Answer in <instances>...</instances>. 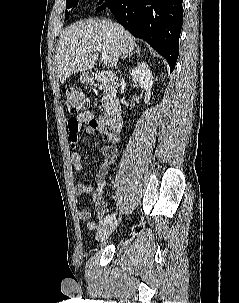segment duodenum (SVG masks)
<instances>
[{
  "mask_svg": "<svg viewBox=\"0 0 239 303\" xmlns=\"http://www.w3.org/2000/svg\"><path fill=\"white\" fill-rule=\"evenodd\" d=\"M89 82L105 94L106 120L112 133H119L123 128V116L119 99L116 96L119 81L115 74L91 70L88 74Z\"/></svg>",
  "mask_w": 239,
  "mask_h": 303,
  "instance_id": "obj_1",
  "label": "duodenum"
}]
</instances>
